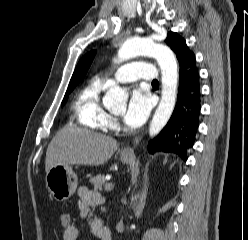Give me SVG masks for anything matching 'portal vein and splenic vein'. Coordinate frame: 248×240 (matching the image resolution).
I'll list each match as a JSON object with an SVG mask.
<instances>
[{
	"mask_svg": "<svg viewBox=\"0 0 248 240\" xmlns=\"http://www.w3.org/2000/svg\"><path fill=\"white\" fill-rule=\"evenodd\" d=\"M113 187L114 185L112 183H107V185L105 186V190L110 191Z\"/></svg>",
	"mask_w": 248,
	"mask_h": 240,
	"instance_id": "18ae733b",
	"label": "portal vein and splenic vein"
}]
</instances>
